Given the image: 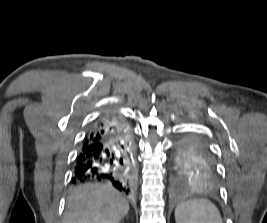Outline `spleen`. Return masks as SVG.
<instances>
[{
    "label": "spleen",
    "mask_w": 267,
    "mask_h": 223,
    "mask_svg": "<svg viewBox=\"0 0 267 223\" xmlns=\"http://www.w3.org/2000/svg\"><path fill=\"white\" fill-rule=\"evenodd\" d=\"M176 223H223L218 208L209 200L192 199L175 209Z\"/></svg>",
    "instance_id": "obj_1"
}]
</instances>
